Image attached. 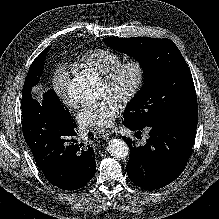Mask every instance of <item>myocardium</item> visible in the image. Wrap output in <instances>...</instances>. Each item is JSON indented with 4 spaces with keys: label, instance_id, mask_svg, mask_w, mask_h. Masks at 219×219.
Masks as SVG:
<instances>
[{
    "label": "myocardium",
    "instance_id": "1",
    "mask_svg": "<svg viewBox=\"0 0 219 219\" xmlns=\"http://www.w3.org/2000/svg\"><path fill=\"white\" fill-rule=\"evenodd\" d=\"M127 70H131L134 73V79L130 89L120 100L122 105H128L131 103L141 91L146 76L144 65L136 59L124 61L102 78V82L108 88L112 89L117 84L122 74Z\"/></svg>",
    "mask_w": 219,
    "mask_h": 219
}]
</instances>
